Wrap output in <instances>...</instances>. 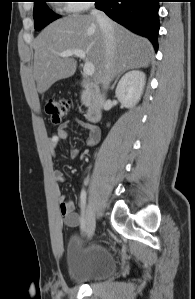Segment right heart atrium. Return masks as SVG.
Instances as JSON below:
<instances>
[{
  "label": "right heart atrium",
  "instance_id": "right-heart-atrium-1",
  "mask_svg": "<svg viewBox=\"0 0 195 299\" xmlns=\"http://www.w3.org/2000/svg\"><path fill=\"white\" fill-rule=\"evenodd\" d=\"M87 0H70L65 4L64 9L71 13H80L88 9Z\"/></svg>",
  "mask_w": 195,
  "mask_h": 299
}]
</instances>
